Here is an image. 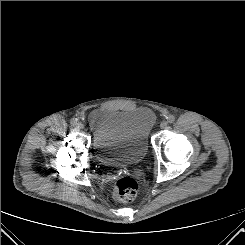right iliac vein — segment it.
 Returning a JSON list of instances; mask_svg holds the SVG:
<instances>
[{
	"mask_svg": "<svg viewBox=\"0 0 245 245\" xmlns=\"http://www.w3.org/2000/svg\"><path fill=\"white\" fill-rule=\"evenodd\" d=\"M75 125L79 130L84 128V124L82 122H77Z\"/></svg>",
	"mask_w": 245,
	"mask_h": 245,
	"instance_id": "63e3f726",
	"label": "right iliac vein"
}]
</instances>
